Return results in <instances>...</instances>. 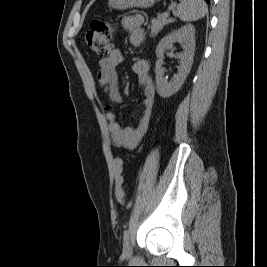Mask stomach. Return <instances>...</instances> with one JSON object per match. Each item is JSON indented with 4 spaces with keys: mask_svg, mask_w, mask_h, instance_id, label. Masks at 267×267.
Listing matches in <instances>:
<instances>
[{
    "mask_svg": "<svg viewBox=\"0 0 267 267\" xmlns=\"http://www.w3.org/2000/svg\"><path fill=\"white\" fill-rule=\"evenodd\" d=\"M160 0H109L108 5L113 9L124 10L133 7L149 8Z\"/></svg>",
    "mask_w": 267,
    "mask_h": 267,
    "instance_id": "obj_1",
    "label": "stomach"
}]
</instances>
